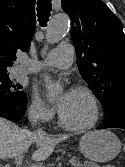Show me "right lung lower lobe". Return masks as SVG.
Here are the masks:
<instances>
[{"label":"right lung lower lobe","instance_id":"right-lung-lower-lobe-1","mask_svg":"<svg viewBox=\"0 0 125 167\" xmlns=\"http://www.w3.org/2000/svg\"><path fill=\"white\" fill-rule=\"evenodd\" d=\"M26 98L23 101H10L0 96V117H4L10 121H19L26 112Z\"/></svg>","mask_w":125,"mask_h":167}]
</instances>
